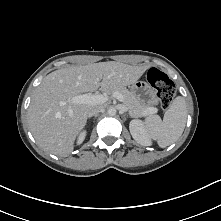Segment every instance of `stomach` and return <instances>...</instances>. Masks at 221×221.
<instances>
[{
  "mask_svg": "<svg viewBox=\"0 0 221 221\" xmlns=\"http://www.w3.org/2000/svg\"><path fill=\"white\" fill-rule=\"evenodd\" d=\"M131 93L144 105H152L150 100L152 95V89L150 85L145 81H136L130 86Z\"/></svg>",
  "mask_w": 221,
  "mask_h": 221,
  "instance_id": "obj_1",
  "label": "stomach"
}]
</instances>
